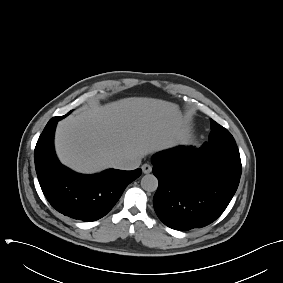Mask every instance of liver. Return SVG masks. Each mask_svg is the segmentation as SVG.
Returning a JSON list of instances; mask_svg holds the SVG:
<instances>
[{
    "label": "liver",
    "mask_w": 283,
    "mask_h": 283,
    "mask_svg": "<svg viewBox=\"0 0 283 283\" xmlns=\"http://www.w3.org/2000/svg\"><path fill=\"white\" fill-rule=\"evenodd\" d=\"M183 132L173 103L131 97L94 105L58 123L55 147L60 161L80 173L114 167L171 146Z\"/></svg>",
    "instance_id": "6515ba94"
}]
</instances>
